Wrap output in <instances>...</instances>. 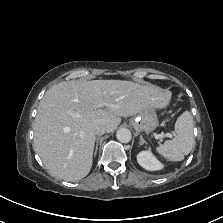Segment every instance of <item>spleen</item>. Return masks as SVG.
I'll return each instance as SVG.
<instances>
[{
  "label": "spleen",
  "mask_w": 223,
  "mask_h": 223,
  "mask_svg": "<svg viewBox=\"0 0 223 223\" xmlns=\"http://www.w3.org/2000/svg\"><path fill=\"white\" fill-rule=\"evenodd\" d=\"M193 128L194 121L191 113L183 112L175 123V137L165 141L156 148V151L167 160L182 161L195 146Z\"/></svg>",
  "instance_id": "3e777b00"
}]
</instances>
